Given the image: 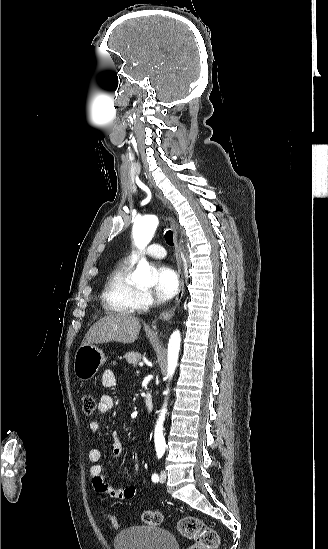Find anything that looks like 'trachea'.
<instances>
[{
  "label": "trachea",
  "instance_id": "obj_1",
  "mask_svg": "<svg viewBox=\"0 0 328 549\" xmlns=\"http://www.w3.org/2000/svg\"><path fill=\"white\" fill-rule=\"evenodd\" d=\"M165 240H166V243L168 245H170L171 247L174 245L173 232L171 230H167V232L165 234Z\"/></svg>",
  "mask_w": 328,
  "mask_h": 549
}]
</instances>
